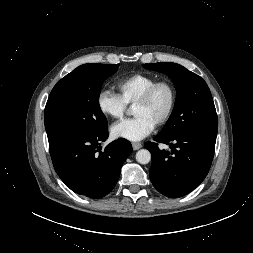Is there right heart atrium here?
<instances>
[{"mask_svg": "<svg viewBox=\"0 0 253 253\" xmlns=\"http://www.w3.org/2000/svg\"><path fill=\"white\" fill-rule=\"evenodd\" d=\"M97 106L101 114L112 119H122L127 111V105L120 96L110 90L98 94Z\"/></svg>", "mask_w": 253, "mask_h": 253, "instance_id": "d8ad5b80", "label": "right heart atrium"}]
</instances>
